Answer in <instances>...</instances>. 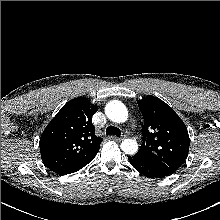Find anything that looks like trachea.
Listing matches in <instances>:
<instances>
[{
	"label": "trachea",
	"instance_id": "1",
	"mask_svg": "<svg viewBox=\"0 0 220 220\" xmlns=\"http://www.w3.org/2000/svg\"><path fill=\"white\" fill-rule=\"evenodd\" d=\"M106 135L121 136V130L115 126H108L106 129Z\"/></svg>",
	"mask_w": 220,
	"mask_h": 220
}]
</instances>
